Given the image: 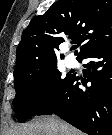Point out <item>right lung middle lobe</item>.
<instances>
[{
	"label": "right lung middle lobe",
	"mask_w": 112,
	"mask_h": 135,
	"mask_svg": "<svg viewBox=\"0 0 112 135\" xmlns=\"http://www.w3.org/2000/svg\"><path fill=\"white\" fill-rule=\"evenodd\" d=\"M72 74L62 77L57 61L32 74L14 76L16 96L13 100L15 115L20 123L38 114L67 84Z\"/></svg>",
	"instance_id": "right-lung-middle-lobe-1"
}]
</instances>
